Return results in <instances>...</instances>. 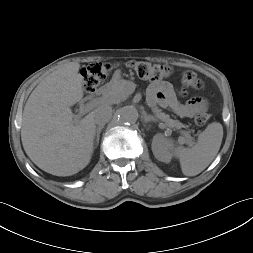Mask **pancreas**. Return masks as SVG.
Listing matches in <instances>:
<instances>
[{"mask_svg":"<svg viewBox=\"0 0 253 253\" xmlns=\"http://www.w3.org/2000/svg\"><path fill=\"white\" fill-rule=\"evenodd\" d=\"M133 89L129 87V84L125 80H117L104 88L103 97L110 103H118L121 102L129 95H131ZM152 112L155 116L164 122L165 126L173 130H180L182 124L178 120H173L169 115L162 112V110L157 107H152ZM182 134H187V132H182Z\"/></svg>","mask_w":253,"mask_h":253,"instance_id":"pancreas-1","label":"pancreas"}]
</instances>
